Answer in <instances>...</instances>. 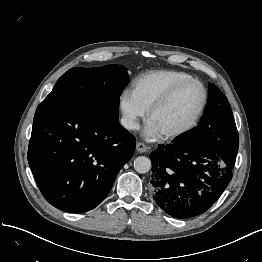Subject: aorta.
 <instances>
[{"label":"aorta","mask_w":262,"mask_h":262,"mask_svg":"<svg viewBox=\"0 0 262 262\" xmlns=\"http://www.w3.org/2000/svg\"><path fill=\"white\" fill-rule=\"evenodd\" d=\"M134 169L141 174L147 173L151 169V161L145 156H139L134 160Z\"/></svg>","instance_id":"1"}]
</instances>
